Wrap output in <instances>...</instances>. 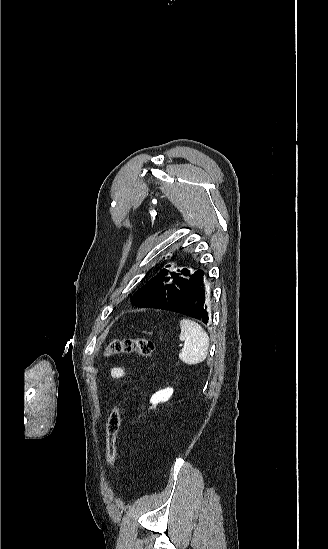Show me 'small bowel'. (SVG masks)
Wrapping results in <instances>:
<instances>
[{
  "label": "small bowel",
  "instance_id": "c3829d8e",
  "mask_svg": "<svg viewBox=\"0 0 328 549\" xmlns=\"http://www.w3.org/2000/svg\"><path fill=\"white\" fill-rule=\"evenodd\" d=\"M125 375H126V372H125V370H124L123 368H121V367H113V368L111 369V376H112V378H114V379L123 378V377H125Z\"/></svg>",
  "mask_w": 328,
  "mask_h": 549
}]
</instances>
